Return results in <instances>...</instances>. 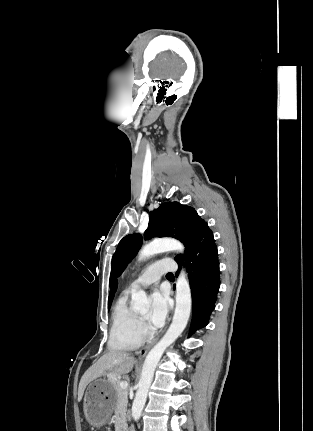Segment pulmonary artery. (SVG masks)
<instances>
[{
  "label": "pulmonary artery",
  "mask_w": 313,
  "mask_h": 431,
  "mask_svg": "<svg viewBox=\"0 0 313 431\" xmlns=\"http://www.w3.org/2000/svg\"><path fill=\"white\" fill-rule=\"evenodd\" d=\"M177 270V265L172 259H162L159 261H156L149 265L141 274L140 276L134 280L131 285L130 289H136L139 287H149L151 285H155L158 283L161 276L168 272H174Z\"/></svg>",
  "instance_id": "obj_1"
}]
</instances>
